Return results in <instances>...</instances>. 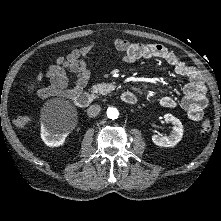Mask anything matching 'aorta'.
Listing matches in <instances>:
<instances>
[{"instance_id": "obj_1", "label": "aorta", "mask_w": 221, "mask_h": 221, "mask_svg": "<svg viewBox=\"0 0 221 221\" xmlns=\"http://www.w3.org/2000/svg\"><path fill=\"white\" fill-rule=\"evenodd\" d=\"M107 116L110 119H117L118 116H119V112H118V110L116 108L109 107L107 109Z\"/></svg>"}]
</instances>
